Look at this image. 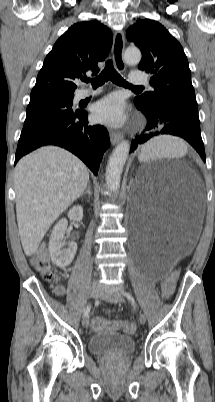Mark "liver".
<instances>
[{
  "mask_svg": "<svg viewBox=\"0 0 215 402\" xmlns=\"http://www.w3.org/2000/svg\"><path fill=\"white\" fill-rule=\"evenodd\" d=\"M85 164L72 153L45 146L24 156L15 167L16 215L23 250L36 253L53 222L84 192Z\"/></svg>",
  "mask_w": 215,
  "mask_h": 402,
  "instance_id": "liver-1",
  "label": "liver"
}]
</instances>
